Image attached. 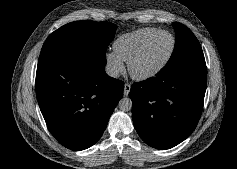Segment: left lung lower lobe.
Here are the masks:
<instances>
[{"mask_svg":"<svg viewBox=\"0 0 237 169\" xmlns=\"http://www.w3.org/2000/svg\"><path fill=\"white\" fill-rule=\"evenodd\" d=\"M207 85L205 61L184 64L173 71L134 83L132 118L142 140L157 149L172 148L195 129Z\"/></svg>","mask_w":237,"mask_h":169,"instance_id":"1","label":"left lung lower lobe"}]
</instances>
